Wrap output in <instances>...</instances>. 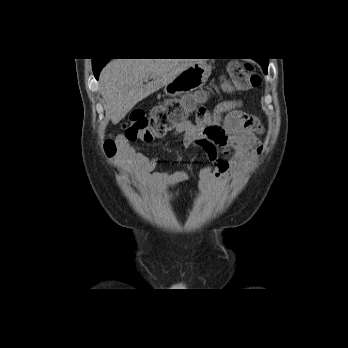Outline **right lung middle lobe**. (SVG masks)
<instances>
[{"mask_svg":"<svg viewBox=\"0 0 348 348\" xmlns=\"http://www.w3.org/2000/svg\"><path fill=\"white\" fill-rule=\"evenodd\" d=\"M109 59H93V64H106Z\"/></svg>","mask_w":348,"mask_h":348,"instance_id":"obj_1","label":"right lung middle lobe"}]
</instances>
